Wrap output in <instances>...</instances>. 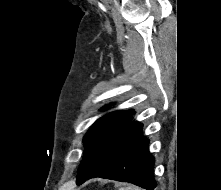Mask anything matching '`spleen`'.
Masks as SVG:
<instances>
[{"label":"spleen","instance_id":"1","mask_svg":"<svg viewBox=\"0 0 221 190\" xmlns=\"http://www.w3.org/2000/svg\"><path fill=\"white\" fill-rule=\"evenodd\" d=\"M119 190H142V189H139L135 186H127V187H122Z\"/></svg>","mask_w":221,"mask_h":190}]
</instances>
